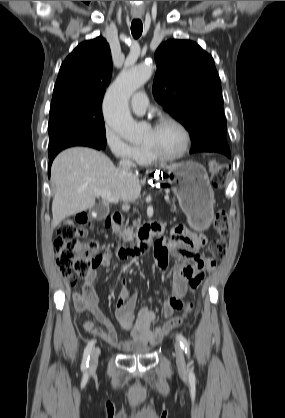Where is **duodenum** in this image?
Masks as SVG:
<instances>
[{
  "label": "duodenum",
  "mask_w": 285,
  "mask_h": 418,
  "mask_svg": "<svg viewBox=\"0 0 285 418\" xmlns=\"http://www.w3.org/2000/svg\"><path fill=\"white\" fill-rule=\"evenodd\" d=\"M123 219L122 215L119 212L113 213L111 217V223L114 231H119L122 225ZM156 231L154 225L147 226L143 232L140 234L141 243L135 247H118L116 249V254L121 259H130L135 256H140L146 253L148 249L147 239Z\"/></svg>",
  "instance_id": "obj_1"
}]
</instances>
